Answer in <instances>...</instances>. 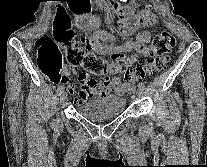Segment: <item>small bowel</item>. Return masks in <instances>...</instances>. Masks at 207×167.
Instances as JSON below:
<instances>
[{
    "instance_id": "1",
    "label": "small bowel",
    "mask_w": 207,
    "mask_h": 167,
    "mask_svg": "<svg viewBox=\"0 0 207 167\" xmlns=\"http://www.w3.org/2000/svg\"><path fill=\"white\" fill-rule=\"evenodd\" d=\"M88 4L89 1H69L68 5V9H71V13H74V17L80 19L79 24L82 28L85 30L95 28L91 35H83L80 41L99 55L111 56L114 61L110 64L109 73L111 76L105 77L99 82L91 79L87 73H79L78 80L83 87L75 98L77 105L86 103L93 96H121L134 91L135 87L133 84L122 83L117 76L118 73L122 72L119 60L124 57L125 53L132 50H136L141 57H149L147 44L152 40L153 34L149 31H142L137 33L134 38L132 37L138 26L153 25L156 22L155 15L149 9L137 15L124 13L120 30L128 38L118 42L114 34L98 29L95 23H90V20L86 17L90 9ZM71 71L70 66L64 65L59 83H62L63 86L65 85L69 93L74 94L75 87L69 82Z\"/></svg>"
}]
</instances>
